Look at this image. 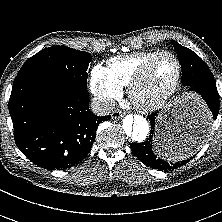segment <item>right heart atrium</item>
Here are the masks:
<instances>
[{
  "label": "right heart atrium",
  "instance_id": "d8ad5b80",
  "mask_svg": "<svg viewBox=\"0 0 222 222\" xmlns=\"http://www.w3.org/2000/svg\"><path fill=\"white\" fill-rule=\"evenodd\" d=\"M90 88L95 98L105 108H109L113 101L122 95V89L110 79L106 68L100 65L92 70Z\"/></svg>",
  "mask_w": 222,
  "mask_h": 222
}]
</instances>
